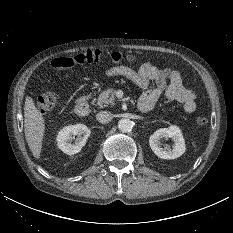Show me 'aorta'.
<instances>
[{
    "label": "aorta",
    "instance_id": "1",
    "mask_svg": "<svg viewBox=\"0 0 233 233\" xmlns=\"http://www.w3.org/2000/svg\"><path fill=\"white\" fill-rule=\"evenodd\" d=\"M133 127V123L129 119H121L118 122V128L121 132H129Z\"/></svg>",
    "mask_w": 233,
    "mask_h": 233
}]
</instances>
